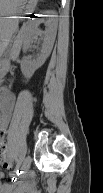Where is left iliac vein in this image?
<instances>
[{"label": "left iliac vein", "instance_id": "1", "mask_svg": "<svg viewBox=\"0 0 103 193\" xmlns=\"http://www.w3.org/2000/svg\"><path fill=\"white\" fill-rule=\"evenodd\" d=\"M30 164H31V157L28 155V156L25 158V160H24V162H23V164H22V169H23V171H28L29 168H30Z\"/></svg>", "mask_w": 103, "mask_h": 193}]
</instances>
